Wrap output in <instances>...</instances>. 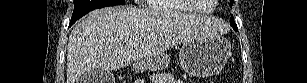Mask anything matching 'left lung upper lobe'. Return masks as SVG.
Returning a JSON list of instances; mask_svg holds the SVG:
<instances>
[{
  "instance_id": "obj_1",
  "label": "left lung upper lobe",
  "mask_w": 307,
  "mask_h": 83,
  "mask_svg": "<svg viewBox=\"0 0 307 83\" xmlns=\"http://www.w3.org/2000/svg\"><path fill=\"white\" fill-rule=\"evenodd\" d=\"M230 2H231V5H233L234 0H230ZM230 24H231V26L237 28V25H236V23L233 19V16H231V18H230Z\"/></svg>"
}]
</instances>
